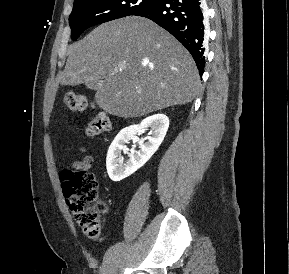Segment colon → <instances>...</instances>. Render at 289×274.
<instances>
[{"label":"colon","mask_w":289,"mask_h":274,"mask_svg":"<svg viewBox=\"0 0 289 274\" xmlns=\"http://www.w3.org/2000/svg\"><path fill=\"white\" fill-rule=\"evenodd\" d=\"M63 104L72 112H84L92 107L86 95L75 93H67ZM110 126L108 115L98 111L86 124L85 132L88 136H97L108 132ZM61 179L64 196L75 221L87 237L98 238L101 233L100 216L107 211V206L99 198L95 176L87 171L65 169Z\"/></svg>","instance_id":"5ec220e1"}]
</instances>
